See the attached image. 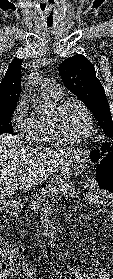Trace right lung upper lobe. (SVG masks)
<instances>
[{
  "mask_svg": "<svg viewBox=\"0 0 113 279\" xmlns=\"http://www.w3.org/2000/svg\"><path fill=\"white\" fill-rule=\"evenodd\" d=\"M22 59H14L0 83V110L15 107L20 95Z\"/></svg>",
  "mask_w": 113,
  "mask_h": 279,
  "instance_id": "right-lung-upper-lobe-1",
  "label": "right lung upper lobe"
}]
</instances>
